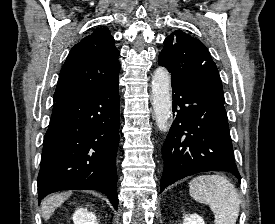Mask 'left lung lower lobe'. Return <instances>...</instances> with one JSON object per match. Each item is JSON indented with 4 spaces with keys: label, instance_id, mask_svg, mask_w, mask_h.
I'll return each instance as SVG.
<instances>
[{
    "label": "left lung lower lobe",
    "instance_id": "left-lung-lower-lobe-1",
    "mask_svg": "<svg viewBox=\"0 0 275 224\" xmlns=\"http://www.w3.org/2000/svg\"><path fill=\"white\" fill-rule=\"evenodd\" d=\"M174 121L162 148L160 192L199 172L227 171L240 182L225 100L192 86L172 84Z\"/></svg>",
    "mask_w": 275,
    "mask_h": 224
}]
</instances>
